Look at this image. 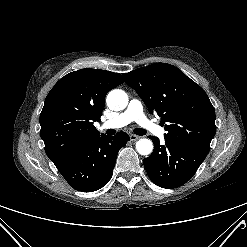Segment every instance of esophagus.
<instances>
[{
    "mask_svg": "<svg viewBox=\"0 0 247 247\" xmlns=\"http://www.w3.org/2000/svg\"><path fill=\"white\" fill-rule=\"evenodd\" d=\"M141 137L140 136H137V135H135V134H130V140L131 141H136V140H138V139H140Z\"/></svg>",
    "mask_w": 247,
    "mask_h": 247,
    "instance_id": "obj_1",
    "label": "esophagus"
}]
</instances>
